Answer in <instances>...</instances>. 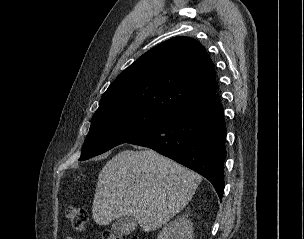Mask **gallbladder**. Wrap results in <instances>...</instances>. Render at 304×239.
Listing matches in <instances>:
<instances>
[{
	"label": "gallbladder",
	"mask_w": 304,
	"mask_h": 239,
	"mask_svg": "<svg viewBox=\"0 0 304 239\" xmlns=\"http://www.w3.org/2000/svg\"><path fill=\"white\" fill-rule=\"evenodd\" d=\"M137 221L131 216L117 218L112 224V231L118 236H126L135 230Z\"/></svg>",
	"instance_id": "gallbladder-1"
}]
</instances>
